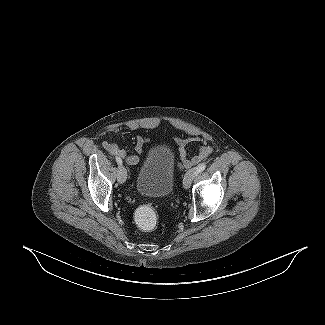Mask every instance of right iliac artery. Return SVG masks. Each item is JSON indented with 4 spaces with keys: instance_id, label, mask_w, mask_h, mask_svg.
I'll return each instance as SVG.
<instances>
[{
    "instance_id": "82829eb1",
    "label": "right iliac artery",
    "mask_w": 325,
    "mask_h": 325,
    "mask_svg": "<svg viewBox=\"0 0 325 325\" xmlns=\"http://www.w3.org/2000/svg\"><path fill=\"white\" fill-rule=\"evenodd\" d=\"M115 159H116V162H117L118 164H120V165L122 164V159H121L120 157H117V156H116Z\"/></svg>"
}]
</instances>
